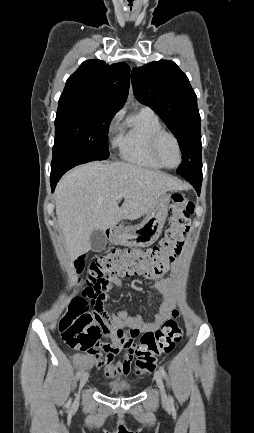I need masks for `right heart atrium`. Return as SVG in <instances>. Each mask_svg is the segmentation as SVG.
<instances>
[{"mask_svg": "<svg viewBox=\"0 0 254 433\" xmlns=\"http://www.w3.org/2000/svg\"><path fill=\"white\" fill-rule=\"evenodd\" d=\"M119 117H120V115H119V114H116V115L112 118L111 123H110V126H109V133H110V134L116 131V129H117V123H118Z\"/></svg>", "mask_w": 254, "mask_h": 433, "instance_id": "right-heart-atrium-1", "label": "right heart atrium"}]
</instances>
